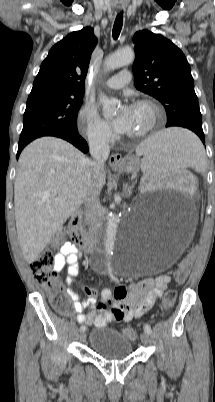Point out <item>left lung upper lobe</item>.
I'll use <instances>...</instances> for the list:
<instances>
[{
	"label": "left lung upper lobe",
	"mask_w": 215,
	"mask_h": 402,
	"mask_svg": "<svg viewBox=\"0 0 215 402\" xmlns=\"http://www.w3.org/2000/svg\"><path fill=\"white\" fill-rule=\"evenodd\" d=\"M134 83L138 90L159 100L167 124L182 123L202 129V117L189 63L170 40L147 30L134 34Z\"/></svg>",
	"instance_id": "5c2ea615"
}]
</instances>
